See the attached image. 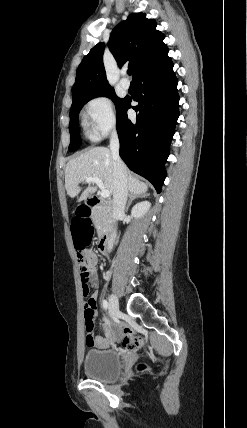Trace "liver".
<instances>
[{
    "label": "liver",
    "mask_w": 247,
    "mask_h": 428,
    "mask_svg": "<svg viewBox=\"0 0 247 428\" xmlns=\"http://www.w3.org/2000/svg\"><path fill=\"white\" fill-rule=\"evenodd\" d=\"M127 187L132 194H142L147 191V185L136 179L126 168ZM87 177H98L102 180L105 189L110 194L114 192L113 158L111 151L106 147H93L78 157L71 159L65 169V188L67 194L74 198L81 187L79 184L86 181ZM89 186L82 192L78 202L85 200L96 192L94 182H88Z\"/></svg>",
    "instance_id": "1"
}]
</instances>
